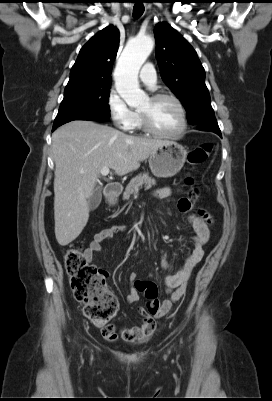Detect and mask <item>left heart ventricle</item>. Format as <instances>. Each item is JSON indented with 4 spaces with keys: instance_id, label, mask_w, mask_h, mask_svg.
I'll list each match as a JSON object with an SVG mask.
<instances>
[{
    "instance_id": "b2bd125f",
    "label": "left heart ventricle",
    "mask_w": 272,
    "mask_h": 401,
    "mask_svg": "<svg viewBox=\"0 0 272 401\" xmlns=\"http://www.w3.org/2000/svg\"><path fill=\"white\" fill-rule=\"evenodd\" d=\"M140 110L148 113L152 125L161 132L173 133L181 126L180 111L171 99L153 102L148 98Z\"/></svg>"
}]
</instances>
